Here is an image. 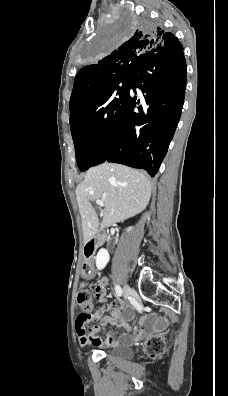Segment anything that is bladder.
<instances>
[{"label":"bladder","instance_id":"1","mask_svg":"<svg viewBox=\"0 0 228 396\" xmlns=\"http://www.w3.org/2000/svg\"><path fill=\"white\" fill-rule=\"evenodd\" d=\"M107 354L113 358L120 360H130L134 357V351L126 345L115 346L107 350Z\"/></svg>","mask_w":228,"mask_h":396}]
</instances>
